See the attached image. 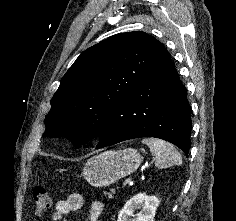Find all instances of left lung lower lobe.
<instances>
[{
	"label": "left lung lower lobe",
	"mask_w": 236,
	"mask_h": 221,
	"mask_svg": "<svg viewBox=\"0 0 236 221\" xmlns=\"http://www.w3.org/2000/svg\"><path fill=\"white\" fill-rule=\"evenodd\" d=\"M187 91L165 49L142 81L117 106L96 148L128 139L156 137L188 156L192 128Z\"/></svg>",
	"instance_id": "obj_1"
}]
</instances>
